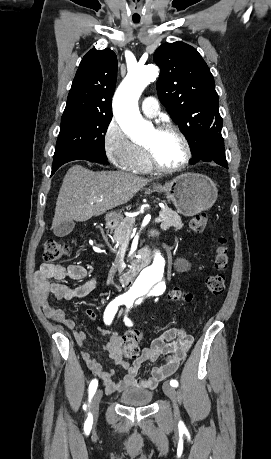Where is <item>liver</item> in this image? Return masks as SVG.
Instances as JSON below:
<instances>
[{"label": "liver", "mask_w": 271, "mask_h": 459, "mask_svg": "<svg viewBox=\"0 0 271 459\" xmlns=\"http://www.w3.org/2000/svg\"><path fill=\"white\" fill-rule=\"evenodd\" d=\"M150 180L126 172H91L82 166L68 170L59 190L52 228L67 222H86L127 204Z\"/></svg>", "instance_id": "obj_1"}]
</instances>
